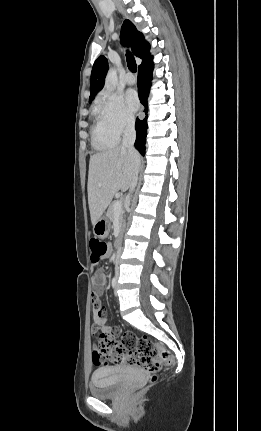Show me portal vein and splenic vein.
<instances>
[{
    "instance_id": "portal-vein-and-splenic-vein-1",
    "label": "portal vein and splenic vein",
    "mask_w": 261,
    "mask_h": 431,
    "mask_svg": "<svg viewBox=\"0 0 261 431\" xmlns=\"http://www.w3.org/2000/svg\"><path fill=\"white\" fill-rule=\"evenodd\" d=\"M121 208H122V203H121V201H120V200L116 201V202H115V204H114V210H115V212L120 211V210H121Z\"/></svg>"
}]
</instances>
